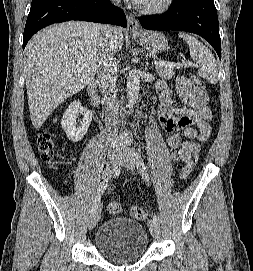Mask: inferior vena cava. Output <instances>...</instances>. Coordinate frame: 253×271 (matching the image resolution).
<instances>
[{
  "mask_svg": "<svg viewBox=\"0 0 253 271\" xmlns=\"http://www.w3.org/2000/svg\"><path fill=\"white\" fill-rule=\"evenodd\" d=\"M114 4H119L120 0H112ZM102 35L103 50L99 61V81L100 89L105 102V122L108 128V150L109 152H119L121 150L118 140V118L119 104L116 93L117 61L113 55V44L115 29L110 25L100 26Z\"/></svg>",
  "mask_w": 253,
  "mask_h": 271,
  "instance_id": "inferior-vena-cava-1",
  "label": "inferior vena cava"
}]
</instances>
